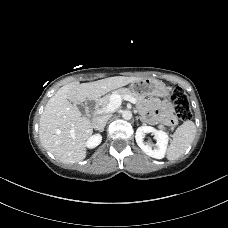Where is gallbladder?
Listing matches in <instances>:
<instances>
[{
  "mask_svg": "<svg viewBox=\"0 0 228 228\" xmlns=\"http://www.w3.org/2000/svg\"><path fill=\"white\" fill-rule=\"evenodd\" d=\"M76 105V107L78 108V109H80V110H82L83 108H82V105H80V104H75Z\"/></svg>",
  "mask_w": 228,
  "mask_h": 228,
  "instance_id": "1",
  "label": "gallbladder"
}]
</instances>
